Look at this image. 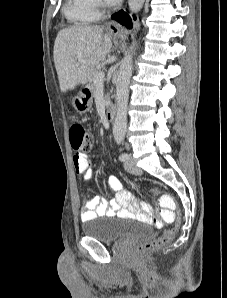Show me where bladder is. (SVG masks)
<instances>
[{
  "mask_svg": "<svg viewBox=\"0 0 227 298\" xmlns=\"http://www.w3.org/2000/svg\"><path fill=\"white\" fill-rule=\"evenodd\" d=\"M82 233L101 242H115L130 238L146 237L152 228L132 219H94L82 224Z\"/></svg>",
  "mask_w": 227,
  "mask_h": 298,
  "instance_id": "obj_1",
  "label": "bladder"
}]
</instances>
